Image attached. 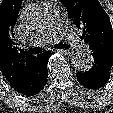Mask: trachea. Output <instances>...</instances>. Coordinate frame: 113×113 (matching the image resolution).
Here are the masks:
<instances>
[{
  "label": "trachea",
  "mask_w": 113,
  "mask_h": 113,
  "mask_svg": "<svg viewBox=\"0 0 113 113\" xmlns=\"http://www.w3.org/2000/svg\"><path fill=\"white\" fill-rule=\"evenodd\" d=\"M54 47L57 49H68L69 48L68 45H65L62 43L55 44ZM41 51H42V49L40 47H35V48H32L29 51H27V53L28 54H39V53H41Z\"/></svg>",
  "instance_id": "trachea-1"
}]
</instances>
